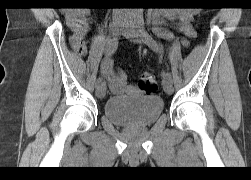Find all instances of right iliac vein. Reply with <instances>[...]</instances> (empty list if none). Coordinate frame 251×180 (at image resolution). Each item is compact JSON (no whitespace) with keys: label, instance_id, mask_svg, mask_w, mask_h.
<instances>
[{"label":"right iliac vein","instance_id":"63e3f726","mask_svg":"<svg viewBox=\"0 0 251 180\" xmlns=\"http://www.w3.org/2000/svg\"><path fill=\"white\" fill-rule=\"evenodd\" d=\"M124 30V22L116 21L112 26V35L114 38H117L121 35ZM106 94V84L103 82L96 87V96L100 99L104 98Z\"/></svg>","mask_w":251,"mask_h":180}]
</instances>
